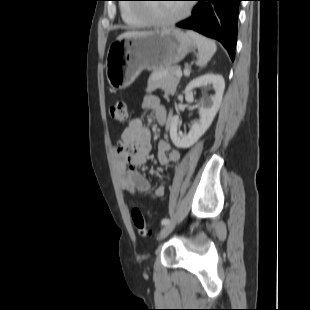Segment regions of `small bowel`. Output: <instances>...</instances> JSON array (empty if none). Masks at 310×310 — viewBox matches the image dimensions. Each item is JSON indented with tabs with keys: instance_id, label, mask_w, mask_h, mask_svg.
<instances>
[{
	"instance_id": "small-bowel-1",
	"label": "small bowel",
	"mask_w": 310,
	"mask_h": 310,
	"mask_svg": "<svg viewBox=\"0 0 310 310\" xmlns=\"http://www.w3.org/2000/svg\"><path fill=\"white\" fill-rule=\"evenodd\" d=\"M141 107L145 111L153 112L158 124L166 123L167 112L158 97L144 96ZM150 149V130L141 118H133L113 146L115 167L123 191L134 196L150 195L152 198L163 196L167 183L161 180L156 189L152 191L150 182L138 170V167L145 163ZM157 159L160 165L168 166L179 163L181 154L173 149L168 141L161 140L158 142Z\"/></svg>"
}]
</instances>
